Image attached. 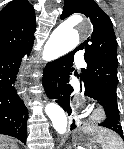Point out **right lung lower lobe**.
I'll use <instances>...</instances> for the list:
<instances>
[{"label":"right lung lower lobe","instance_id":"1","mask_svg":"<svg viewBox=\"0 0 124 149\" xmlns=\"http://www.w3.org/2000/svg\"><path fill=\"white\" fill-rule=\"evenodd\" d=\"M32 46L23 50L0 53V134L15 137L26 143L28 110L18 97L13 84L22 58Z\"/></svg>","mask_w":124,"mask_h":149}]
</instances>
